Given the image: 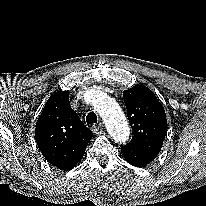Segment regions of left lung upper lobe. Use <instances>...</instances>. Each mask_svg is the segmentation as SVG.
I'll return each instance as SVG.
<instances>
[{"label":"left lung upper lobe","mask_w":206,"mask_h":206,"mask_svg":"<svg viewBox=\"0 0 206 206\" xmlns=\"http://www.w3.org/2000/svg\"><path fill=\"white\" fill-rule=\"evenodd\" d=\"M133 137L123 146L140 152L159 154L167 132L166 113L155 94L145 85L123 92Z\"/></svg>","instance_id":"1"}]
</instances>
